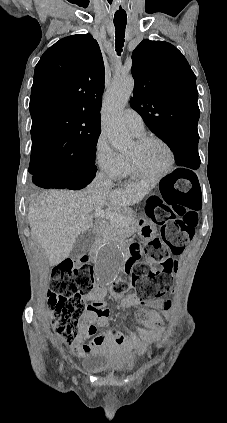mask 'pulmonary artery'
<instances>
[{
  "mask_svg": "<svg viewBox=\"0 0 227 423\" xmlns=\"http://www.w3.org/2000/svg\"><path fill=\"white\" fill-rule=\"evenodd\" d=\"M124 121L128 129L136 136L144 134V121L136 111L127 108L124 111Z\"/></svg>",
  "mask_w": 227,
  "mask_h": 423,
  "instance_id": "e3ab8cb5",
  "label": "pulmonary artery"
}]
</instances>
